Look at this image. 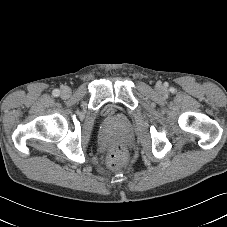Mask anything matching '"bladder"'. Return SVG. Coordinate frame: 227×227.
<instances>
[{
	"instance_id": "1",
	"label": "bladder",
	"mask_w": 227,
	"mask_h": 227,
	"mask_svg": "<svg viewBox=\"0 0 227 227\" xmlns=\"http://www.w3.org/2000/svg\"><path fill=\"white\" fill-rule=\"evenodd\" d=\"M110 110H111V106H108V107L106 108V111L109 112Z\"/></svg>"
}]
</instances>
